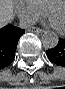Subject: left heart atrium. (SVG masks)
Masks as SVG:
<instances>
[{"label": "left heart atrium", "instance_id": "obj_1", "mask_svg": "<svg viewBox=\"0 0 65 89\" xmlns=\"http://www.w3.org/2000/svg\"><path fill=\"white\" fill-rule=\"evenodd\" d=\"M48 23H49L52 27L59 28L58 24H57L52 18L49 19Z\"/></svg>", "mask_w": 65, "mask_h": 89}]
</instances>
